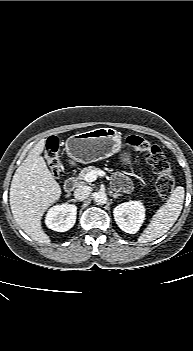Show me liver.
Listing matches in <instances>:
<instances>
[{
	"label": "liver",
	"instance_id": "obj_1",
	"mask_svg": "<svg viewBox=\"0 0 193 351\" xmlns=\"http://www.w3.org/2000/svg\"><path fill=\"white\" fill-rule=\"evenodd\" d=\"M45 143L46 140L41 139L17 168L9 193L15 221L28 236L41 244L50 243L49 236L42 229V216L61 194L60 185L41 156Z\"/></svg>",
	"mask_w": 193,
	"mask_h": 351
}]
</instances>
